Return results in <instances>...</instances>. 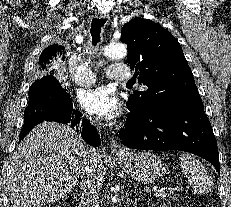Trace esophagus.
<instances>
[{"label": "esophagus", "instance_id": "obj_1", "mask_svg": "<svg viewBox=\"0 0 231 207\" xmlns=\"http://www.w3.org/2000/svg\"><path fill=\"white\" fill-rule=\"evenodd\" d=\"M98 16L102 19H106L109 15L106 12L99 13ZM109 147L112 153H122L125 151L123 145H121L115 138H111Z\"/></svg>", "mask_w": 231, "mask_h": 207}]
</instances>
